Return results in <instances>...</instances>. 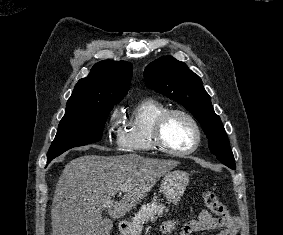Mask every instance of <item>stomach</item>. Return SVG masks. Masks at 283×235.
Instances as JSON below:
<instances>
[{
	"label": "stomach",
	"mask_w": 283,
	"mask_h": 235,
	"mask_svg": "<svg viewBox=\"0 0 283 235\" xmlns=\"http://www.w3.org/2000/svg\"><path fill=\"white\" fill-rule=\"evenodd\" d=\"M188 183L189 175L187 172L182 170L169 171L161 181L160 191L169 202L177 204L183 196ZM120 231L122 235H137L131 223L126 224Z\"/></svg>",
	"instance_id": "0dacf381"
}]
</instances>
